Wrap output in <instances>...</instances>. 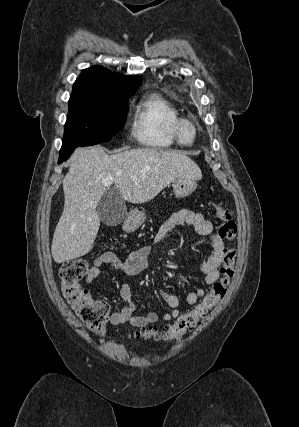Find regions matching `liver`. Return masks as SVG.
I'll return each mask as SVG.
<instances>
[{
	"label": "liver",
	"mask_w": 299,
	"mask_h": 427,
	"mask_svg": "<svg viewBox=\"0 0 299 427\" xmlns=\"http://www.w3.org/2000/svg\"><path fill=\"white\" fill-rule=\"evenodd\" d=\"M69 163L63 179L64 209L51 246L52 257L59 264L93 248L100 227L97 205L107 191L105 179H113L122 199L142 204L178 179L202 178L198 165L184 153L152 148L108 155L100 146L83 147L74 151Z\"/></svg>",
	"instance_id": "1"
}]
</instances>
